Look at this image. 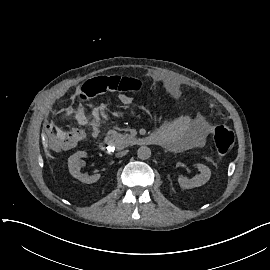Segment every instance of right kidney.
I'll return each instance as SVG.
<instances>
[{
    "instance_id": "obj_1",
    "label": "right kidney",
    "mask_w": 270,
    "mask_h": 270,
    "mask_svg": "<svg viewBox=\"0 0 270 270\" xmlns=\"http://www.w3.org/2000/svg\"><path fill=\"white\" fill-rule=\"evenodd\" d=\"M87 156V152L78 151L68 159V167L70 174L80 180L83 183L92 184L96 183L101 179V173H96L92 176H88L81 173V161L80 159Z\"/></svg>"
}]
</instances>
